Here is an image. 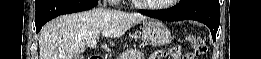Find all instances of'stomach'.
<instances>
[{"instance_id": "obj_1", "label": "stomach", "mask_w": 261, "mask_h": 59, "mask_svg": "<svg viewBox=\"0 0 261 59\" xmlns=\"http://www.w3.org/2000/svg\"><path fill=\"white\" fill-rule=\"evenodd\" d=\"M141 38L145 44L164 46L172 40L169 29L157 20H145L141 30Z\"/></svg>"}]
</instances>
